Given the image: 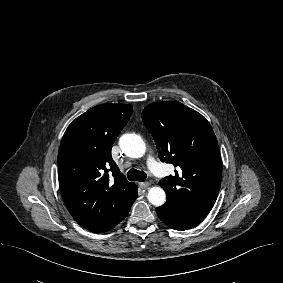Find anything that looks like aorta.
<instances>
[{"instance_id": "aorta-1", "label": "aorta", "mask_w": 283, "mask_h": 283, "mask_svg": "<svg viewBox=\"0 0 283 283\" xmlns=\"http://www.w3.org/2000/svg\"><path fill=\"white\" fill-rule=\"evenodd\" d=\"M119 145L122 151L131 158H140L145 154L146 146L143 139L136 134H124L119 139ZM147 198L154 206H161L166 201L165 191L154 186L149 189Z\"/></svg>"}]
</instances>
